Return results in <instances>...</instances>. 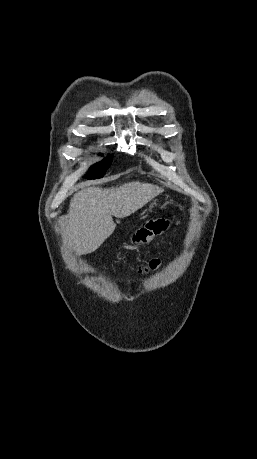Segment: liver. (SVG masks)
I'll list each match as a JSON object with an SVG mask.
<instances>
[{
  "label": "liver",
  "mask_w": 257,
  "mask_h": 459,
  "mask_svg": "<svg viewBox=\"0 0 257 459\" xmlns=\"http://www.w3.org/2000/svg\"><path fill=\"white\" fill-rule=\"evenodd\" d=\"M161 192L162 188L139 181L84 188L71 199L63 236L77 254L91 253L114 232L112 216H130Z\"/></svg>",
  "instance_id": "obj_1"
}]
</instances>
